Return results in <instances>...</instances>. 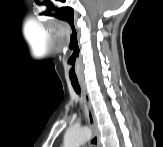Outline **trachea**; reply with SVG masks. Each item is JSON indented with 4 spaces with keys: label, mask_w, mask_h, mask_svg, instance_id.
Listing matches in <instances>:
<instances>
[{
    "label": "trachea",
    "mask_w": 163,
    "mask_h": 147,
    "mask_svg": "<svg viewBox=\"0 0 163 147\" xmlns=\"http://www.w3.org/2000/svg\"><path fill=\"white\" fill-rule=\"evenodd\" d=\"M71 84H72V87H73L74 91H75L78 95H80L81 90H80V86H79L78 81H77V80H72V81H71Z\"/></svg>",
    "instance_id": "1"
}]
</instances>
